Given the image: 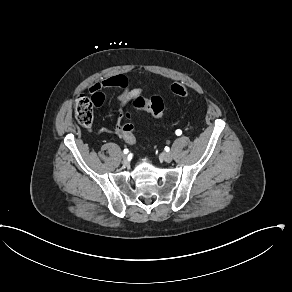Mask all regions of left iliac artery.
Returning <instances> with one entry per match:
<instances>
[{
	"instance_id": "obj_1",
	"label": "left iliac artery",
	"mask_w": 292,
	"mask_h": 292,
	"mask_svg": "<svg viewBox=\"0 0 292 292\" xmlns=\"http://www.w3.org/2000/svg\"><path fill=\"white\" fill-rule=\"evenodd\" d=\"M176 134L177 135H181L182 134V131L180 129L176 130Z\"/></svg>"
}]
</instances>
